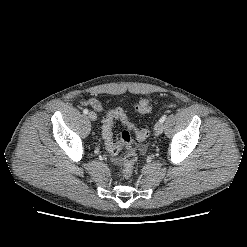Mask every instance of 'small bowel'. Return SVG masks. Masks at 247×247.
I'll use <instances>...</instances> for the list:
<instances>
[{
    "mask_svg": "<svg viewBox=\"0 0 247 247\" xmlns=\"http://www.w3.org/2000/svg\"><path fill=\"white\" fill-rule=\"evenodd\" d=\"M88 105H90L92 108H94L95 110L97 111H101L102 110V106L100 104V102L94 98L92 99H89L87 101ZM112 161L115 163V164H118L119 163V160L117 158V155H112Z\"/></svg>",
    "mask_w": 247,
    "mask_h": 247,
    "instance_id": "1",
    "label": "small bowel"
}]
</instances>
